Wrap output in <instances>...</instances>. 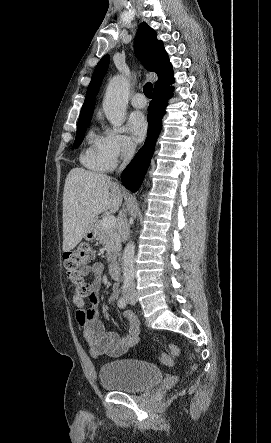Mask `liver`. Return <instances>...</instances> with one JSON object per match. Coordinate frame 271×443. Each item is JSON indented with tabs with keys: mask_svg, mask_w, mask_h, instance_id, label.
I'll return each instance as SVG.
<instances>
[{
	"mask_svg": "<svg viewBox=\"0 0 271 443\" xmlns=\"http://www.w3.org/2000/svg\"><path fill=\"white\" fill-rule=\"evenodd\" d=\"M123 194L110 176L73 168L69 172L63 192V251H70L80 243L96 222L99 214L118 212ZM120 218H125L120 212Z\"/></svg>",
	"mask_w": 271,
	"mask_h": 443,
	"instance_id": "liver-1",
	"label": "liver"
}]
</instances>
